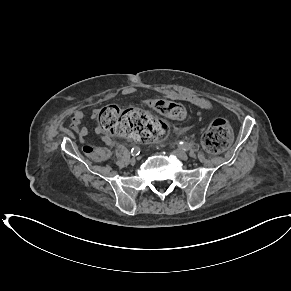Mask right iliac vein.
Masks as SVG:
<instances>
[{
  "instance_id": "right-iliac-vein-1",
  "label": "right iliac vein",
  "mask_w": 291,
  "mask_h": 291,
  "mask_svg": "<svg viewBox=\"0 0 291 291\" xmlns=\"http://www.w3.org/2000/svg\"><path fill=\"white\" fill-rule=\"evenodd\" d=\"M132 164H134L136 162V159L135 158H132L131 161H130Z\"/></svg>"
}]
</instances>
